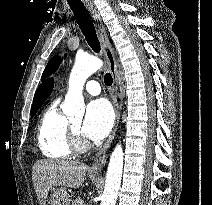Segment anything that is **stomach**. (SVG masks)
<instances>
[{
    "label": "stomach",
    "instance_id": "1",
    "mask_svg": "<svg viewBox=\"0 0 212 205\" xmlns=\"http://www.w3.org/2000/svg\"><path fill=\"white\" fill-rule=\"evenodd\" d=\"M50 205H70V200L65 188L53 190L50 195Z\"/></svg>",
    "mask_w": 212,
    "mask_h": 205
}]
</instances>
